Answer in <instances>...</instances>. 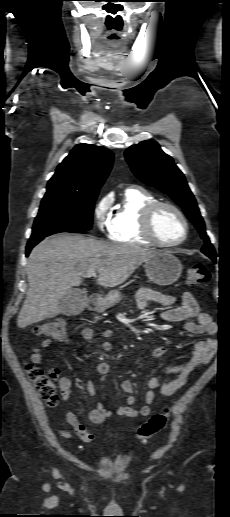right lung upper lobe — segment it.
<instances>
[{
	"instance_id": "obj_1",
	"label": "right lung upper lobe",
	"mask_w": 230,
	"mask_h": 517,
	"mask_svg": "<svg viewBox=\"0 0 230 517\" xmlns=\"http://www.w3.org/2000/svg\"><path fill=\"white\" fill-rule=\"evenodd\" d=\"M113 164V153L104 147L78 144L47 184L44 197L96 194Z\"/></svg>"
}]
</instances>
